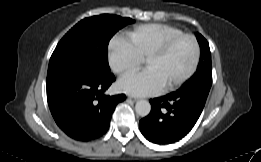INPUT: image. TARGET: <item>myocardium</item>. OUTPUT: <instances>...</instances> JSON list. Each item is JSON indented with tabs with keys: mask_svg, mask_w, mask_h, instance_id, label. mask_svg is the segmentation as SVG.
Returning a JSON list of instances; mask_svg holds the SVG:
<instances>
[{
	"mask_svg": "<svg viewBox=\"0 0 261 162\" xmlns=\"http://www.w3.org/2000/svg\"><path fill=\"white\" fill-rule=\"evenodd\" d=\"M183 38H189L193 42L194 50H195L193 63L191 65L190 69L180 79H178L177 81H175L167 86H164V88H163L164 91H172V90L179 88L185 82H187L196 72L199 62H200V57H201V49H200V45H199L197 38L193 34H190V33H181V34L175 35V36L167 39L166 41H164L161 45H159L154 50H152L145 58V63H146L147 61H149L152 58L163 56L171 49V47L176 42H178L179 40H181Z\"/></svg>",
	"mask_w": 261,
	"mask_h": 162,
	"instance_id": "1",
	"label": "myocardium"
}]
</instances>
